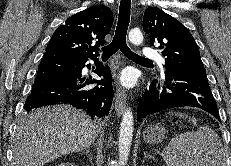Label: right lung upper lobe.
<instances>
[{"label":"right lung upper lobe","instance_id":"cb5924a9","mask_svg":"<svg viewBox=\"0 0 231 166\" xmlns=\"http://www.w3.org/2000/svg\"><path fill=\"white\" fill-rule=\"evenodd\" d=\"M112 24L113 12L104 5H95L78 12L56 29L45 54L68 58H97L99 46L104 45V37Z\"/></svg>","mask_w":231,"mask_h":166}]
</instances>
